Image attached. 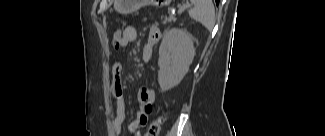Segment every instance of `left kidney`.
<instances>
[{"mask_svg":"<svg viewBox=\"0 0 325 136\" xmlns=\"http://www.w3.org/2000/svg\"><path fill=\"white\" fill-rule=\"evenodd\" d=\"M194 56L193 36L189 32L172 28L164 35L158 60V82L162 91H168L182 81Z\"/></svg>","mask_w":325,"mask_h":136,"instance_id":"obj_1","label":"left kidney"}]
</instances>
